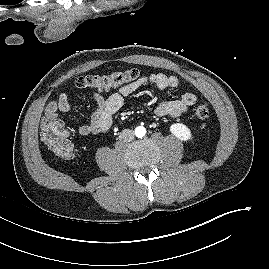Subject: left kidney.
<instances>
[{"instance_id":"left-kidney-1","label":"left kidney","mask_w":269,"mask_h":269,"mask_svg":"<svg viewBox=\"0 0 269 269\" xmlns=\"http://www.w3.org/2000/svg\"><path fill=\"white\" fill-rule=\"evenodd\" d=\"M171 133L179 138L182 141H188L192 139V134L190 129L182 124V123H175L170 126Z\"/></svg>"}]
</instances>
